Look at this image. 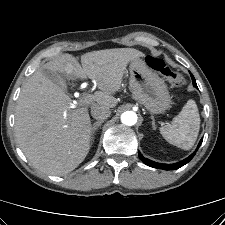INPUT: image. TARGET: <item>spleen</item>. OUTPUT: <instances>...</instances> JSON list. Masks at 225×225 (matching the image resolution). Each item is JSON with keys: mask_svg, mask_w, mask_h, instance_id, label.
<instances>
[{"mask_svg": "<svg viewBox=\"0 0 225 225\" xmlns=\"http://www.w3.org/2000/svg\"><path fill=\"white\" fill-rule=\"evenodd\" d=\"M200 128V116L194 100H188L170 124L160 127V133L170 144L184 150L194 145Z\"/></svg>", "mask_w": 225, "mask_h": 225, "instance_id": "obj_1", "label": "spleen"}]
</instances>
